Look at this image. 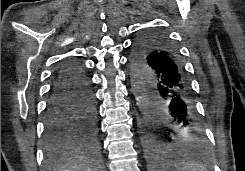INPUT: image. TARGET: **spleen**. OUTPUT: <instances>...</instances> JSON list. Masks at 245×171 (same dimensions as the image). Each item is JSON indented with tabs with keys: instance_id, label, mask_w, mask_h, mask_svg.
Segmentation results:
<instances>
[{
	"instance_id": "obj_1",
	"label": "spleen",
	"mask_w": 245,
	"mask_h": 171,
	"mask_svg": "<svg viewBox=\"0 0 245 171\" xmlns=\"http://www.w3.org/2000/svg\"><path fill=\"white\" fill-rule=\"evenodd\" d=\"M176 171H208V170L200 162L191 159H184L177 164Z\"/></svg>"
}]
</instances>
